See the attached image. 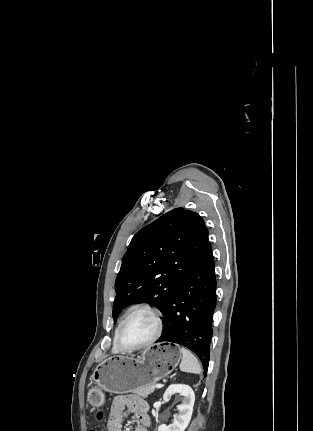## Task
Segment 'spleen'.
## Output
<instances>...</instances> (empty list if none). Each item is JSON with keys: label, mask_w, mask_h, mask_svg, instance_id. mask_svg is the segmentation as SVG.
<instances>
[{"label": "spleen", "mask_w": 313, "mask_h": 431, "mask_svg": "<svg viewBox=\"0 0 313 431\" xmlns=\"http://www.w3.org/2000/svg\"><path fill=\"white\" fill-rule=\"evenodd\" d=\"M180 352L182 354V361L180 364V370L182 372H187V373L201 374L202 368L199 364V361L195 357V355L192 354L186 348H181Z\"/></svg>", "instance_id": "1"}]
</instances>
